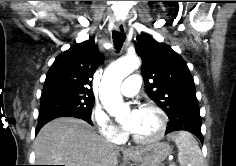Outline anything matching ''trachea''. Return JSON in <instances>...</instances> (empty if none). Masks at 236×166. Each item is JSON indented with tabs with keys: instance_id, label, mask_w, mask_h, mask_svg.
<instances>
[{
	"instance_id": "trachea-1",
	"label": "trachea",
	"mask_w": 236,
	"mask_h": 166,
	"mask_svg": "<svg viewBox=\"0 0 236 166\" xmlns=\"http://www.w3.org/2000/svg\"><path fill=\"white\" fill-rule=\"evenodd\" d=\"M113 42L117 50H119L122 47V44L126 38L124 33H120L117 31L112 32Z\"/></svg>"
}]
</instances>
